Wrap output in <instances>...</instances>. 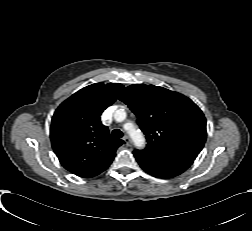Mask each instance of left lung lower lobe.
Here are the masks:
<instances>
[{"instance_id": "0a47b994", "label": "left lung lower lobe", "mask_w": 252, "mask_h": 231, "mask_svg": "<svg viewBox=\"0 0 252 231\" xmlns=\"http://www.w3.org/2000/svg\"><path fill=\"white\" fill-rule=\"evenodd\" d=\"M134 156L141 168L158 178H171L183 173L193 159L179 155L145 154L134 150Z\"/></svg>"}]
</instances>
